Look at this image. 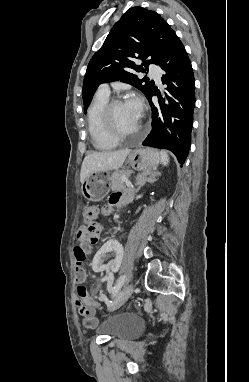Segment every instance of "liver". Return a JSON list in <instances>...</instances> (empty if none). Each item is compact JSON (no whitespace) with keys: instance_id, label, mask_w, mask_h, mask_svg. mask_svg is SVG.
Here are the masks:
<instances>
[{"instance_id":"6515ba94","label":"liver","mask_w":249,"mask_h":382,"mask_svg":"<svg viewBox=\"0 0 249 382\" xmlns=\"http://www.w3.org/2000/svg\"><path fill=\"white\" fill-rule=\"evenodd\" d=\"M129 149H123L112 152H92L86 155L81 166L80 181L92 173L105 172L120 168L126 157L129 155Z\"/></svg>"}]
</instances>
